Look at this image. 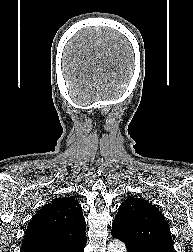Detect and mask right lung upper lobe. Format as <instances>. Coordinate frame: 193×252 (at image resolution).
Here are the masks:
<instances>
[{
    "instance_id": "cb5924a9",
    "label": "right lung upper lobe",
    "mask_w": 193,
    "mask_h": 252,
    "mask_svg": "<svg viewBox=\"0 0 193 252\" xmlns=\"http://www.w3.org/2000/svg\"><path fill=\"white\" fill-rule=\"evenodd\" d=\"M80 204L71 197L52 200L27 226L21 252H67L87 241Z\"/></svg>"
}]
</instances>
